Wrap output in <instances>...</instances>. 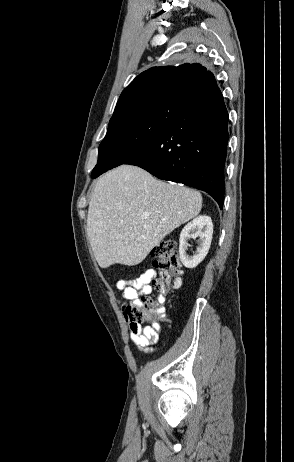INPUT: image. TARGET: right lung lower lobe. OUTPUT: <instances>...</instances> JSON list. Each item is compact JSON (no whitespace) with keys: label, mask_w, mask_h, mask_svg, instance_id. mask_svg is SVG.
I'll return each instance as SVG.
<instances>
[{"label":"right lung lower lobe","mask_w":294,"mask_h":462,"mask_svg":"<svg viewBox=\"0 0 294 462\" xmlns=\"http://www.w3.org/2000/svg\"><path fill=\"white\" fill-rule=\"evenodd\" d=\"M161 132L123 164L144 168L154 176L206 191L224 202V165L228 112L217 83L197 94ZM92 178L98 174H92Z\"/></svg>","instance_id":"98d812e1"}]
</instances>
